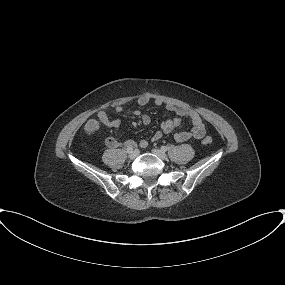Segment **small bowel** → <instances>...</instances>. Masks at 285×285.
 I'll use <instances>...</instances> for the list:
<instances>
[{"label": "small bowel", "mask_w": 285, "mask_h": 285, "mask_svg": "<svg viewBox=\"0 0 285 285\" xmlns=\"http://www.w3.org/2000/svg\"><path fill=\"white\" fill-rule=\"evenodd\" d=\"M151 101H153V103L157 106L164 105L167 111L175 113V117L169 118L161 123V131H156L153 133L151 137L152 141H158L162 138L163 134L171 133L175 128H177L181 124L182 119L185 117L189 118V120L191 121L192 129L190 131H180L175 133L174 139L179 143H183L188 141L190 138H194L197 140L204 138L206 134V127L202 118L196 111L186 107L176 106L172 103H164L161 99H151L148 96L139 97L137 99V104L139 106H146ZM115 111L119 114H130V115L140 116L142 122L145 125H148L150 123L149 115L139 110L129 111L123 105H117L115 107ZM120 125H121L120 120L110 119L106 112L100 111L97 114L96 118H92L87 121L84 127V131L86 134L91 135L94 134L101 126H106L109 128H119ZM105 142L107 146L111 148H117L121 145L120 141L115 136L107 137L105 139ZM148 144L149 142L146 139H142L138 143V145L141 148H147ZM124 145L135 147L137 143L133 140H127L124 142Z\"/></svg>", "instance_id": "obj_1"}]
</instances>
